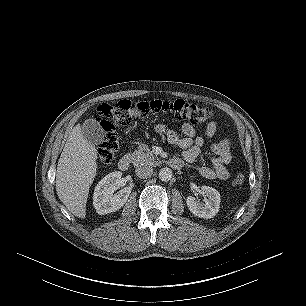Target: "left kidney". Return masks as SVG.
Instances as JSON below:
<instances>
[{
  "instance_id": "left-kidney-1",
  "label": "left kidney",
  "mask_w": 306,
  "mask_h": 306,
  "mask_svg": "<svg viewBox=\"0 0 306 306\" xmlns=\"http://www.w3.org/2000/svg\"><path fill=\"white\" fill-rule=\"evenodd\" d=\"M201 190L207 198L200 202L195 197L189 196L186 199L187 207L194 216L204 219L213 218L220 208V193L209 186H202Z\"/></svg>"
}]
</instances>
